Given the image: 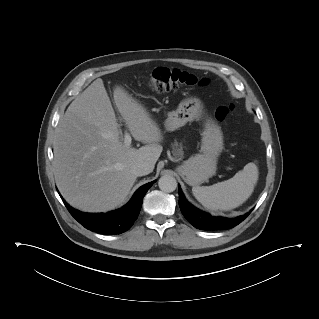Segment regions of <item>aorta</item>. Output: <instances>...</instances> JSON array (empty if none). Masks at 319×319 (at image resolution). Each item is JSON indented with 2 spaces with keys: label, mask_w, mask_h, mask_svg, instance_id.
<instances>
[{
  "label": "aorta",
  "mask_w": 319,
  "mask_h": 319,
  "mask_svg": "<svg viewBox=\"0 0 319 319\" xmlns=\"http://www.w3.org/2000/svg\"><path fill=\"white\" fill-rule=\"evenodd\" d=\"M158 186L164 192H173L177 187V181L171 175H164L159 179Z\"/></svg>",
  "instance_id": "762f6f07"
}]
</instances>
